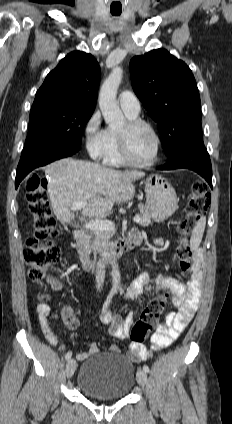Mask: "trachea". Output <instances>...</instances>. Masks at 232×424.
<instances>
[{
    "label": "trachea",
    "instance_id": "trachea-1",
    "mask_svg": "<svg viewBox=\"0 0 232 424\" xmlns=\"http://www.w3.org/2000/svg\"><path fill=\"white\" fill-rule=\"evenodd\" d=\"M113 16H119L121 13L119 12H111Z\"/></svg>",
    "mask_w": 232,
    "mask_h": 424
}]
</instances>
